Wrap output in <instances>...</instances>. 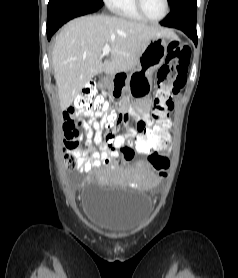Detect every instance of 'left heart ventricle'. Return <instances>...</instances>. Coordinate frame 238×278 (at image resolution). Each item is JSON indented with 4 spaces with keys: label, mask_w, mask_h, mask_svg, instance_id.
I'll return each mask as SVG.
<instances>
[{
    "label": "left heart ventricle",
    "mask_w": 238,
    "mask_h": 278,
    "mask_svg": "<svg viewBox=\"0 0 238 278\" xmlns=\"http://www.w3.org/2000/svg\"><path fill=\"white\" fill-rule=\"evenodd\" d=\"M143 6L147 15L153 19H158L165 12L164 0H143Z\"/></svg>",
    "instance_id": "obj_1"
}]
</instances>
